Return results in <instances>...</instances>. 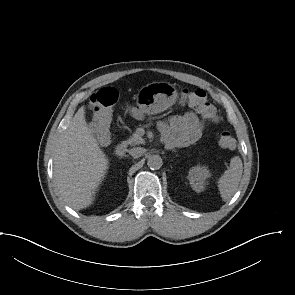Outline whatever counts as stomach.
<instances>
[{"mask_svg":"<svg viewBox=\"0 0 295 295\" xmlns=\"http://www.w3.org/2000/svg\"><path fill=\"white\" fill-rule=\"evenodd\" d=\"M177 96V90L172 84L154 82L140 90L136 103L146 114H157L171 107Z\"/></svg>","mask_w":295,"mask_h":295,"instance_id":"1","label":"stomach"}]
</instances>
